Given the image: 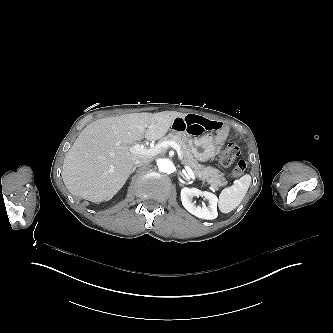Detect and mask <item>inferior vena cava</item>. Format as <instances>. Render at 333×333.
Here are the masks:
<instances>
[{
    "mask_svg": "<svg viewBox=\"0 0 333 333\" xmlns=\"http://www.w3.org/2000/svg\"><path fill=\"white\" fill-rule=\"evenodd\" d=\"M150 160H151V158H146V159H143V160H137V161L135 162V166H137V167H141L142 164L149 163Z\"/></svg>",
    "mask_w": 333,
    "mask_h": 333,
    "instance_id": "obj_1",
    "label": "inferior vena cava"
}]
</instances>
